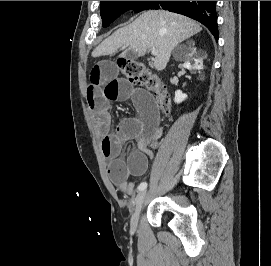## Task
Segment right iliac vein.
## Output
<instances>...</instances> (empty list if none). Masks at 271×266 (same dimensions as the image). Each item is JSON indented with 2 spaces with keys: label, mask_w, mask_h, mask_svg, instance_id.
I'll use <instances>...</instances> for the list:
<instances>
[{
  "label": "right iliac vein",
  "mask_w": 271,
  "mask_h": 266,
  "mask_svg": "<svg viewBox=\"0 0 271 266\" xmlns=\"http://www.w3.org/2000/svg\"><path fill=\"white\" fill-rule=\"evenodd\" d=\"M145 197H146V191H141L134 200V211H133L131 221H130L131 230L133 232L137 230L139 213L143 207Z\"/></svg>",
  "instance_id": "obj_1"
}]
</instances>
